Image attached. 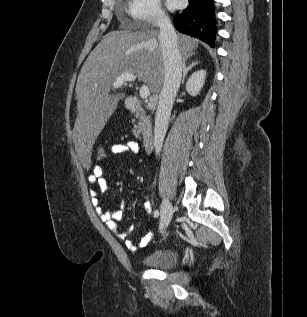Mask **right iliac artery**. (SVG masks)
I'll list each match as a JSON object with an SVG mask.
<instances>
[{"label":"right iliac artery","instance_id":"right-iliac-artery-1","mask_svg":"<svg viewBox=\"0 0 307 317\" xmlns=\"http://www.w3.org/2000/svg\"><path fill=\"white\" fill-rule=\"evenodd\" d=\"M158 215H159V211H158V210H155V211H154V217H158Z\"/></svg>","mask_w":307,"mask_h":317}]
</instances>
